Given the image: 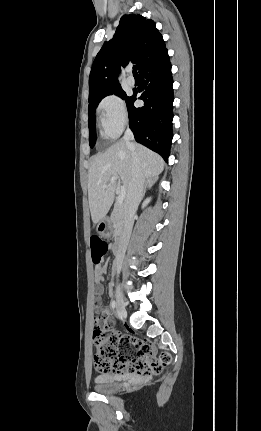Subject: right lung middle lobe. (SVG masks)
Wrapping results in <instances>:
<instances>
[{
    "mask_svg": "<svg viewBox=\"0 0 261 431\" xmlns=\"http://www.w3.org/2000/svg\"><path fill=\"white\" fill-rule=\"evenodd\" d=\"M115 94L119 97H121L124 100H128V96L125 94V92L121 89L120 85L115 86L113 88H110L106 91H103L101 93H98L92 97H89V105H88V113H89V121H88V127H89V144L90 147H93L96 142V133H95V111L99 104V102L106 96Z\"/></svg>",
    "mask_w": 261,
    "mask_h": 431,
    "instance_id": "right-lung-middle-lobe-1",
    "label": "right lung middle lobe"
}]
</instances>
